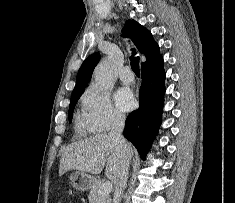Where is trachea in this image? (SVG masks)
Listing matches in <instances>:
<instances>
[{"label": "trachea", "mask_w": 235, "mask_h": 203, "mask_svg": "<svg viewBox=\"0 0 235 203\" xmlns=\"http://www.w3.org/2000/svg\"><path fill=\"white\" fill-rule=\"evenodd\" d=\"M134 55H135V51L133 50L132 56H131V69L137 76H140L139 59L134 57Z\"/></svg>", "instance_id": "1"}]
</instances>
